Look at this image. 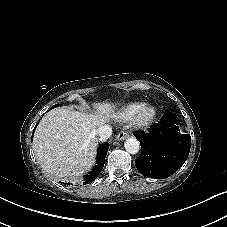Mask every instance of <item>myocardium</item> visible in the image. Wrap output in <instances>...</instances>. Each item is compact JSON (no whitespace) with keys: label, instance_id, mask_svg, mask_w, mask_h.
Segmentation results:
<instances>
[{"label":"myocardium","instance_id":"myocardium-1","mask_svg":"<svg viewBox=\"0 0 227 227\" xmlns=\"http://www.w3.org/2000/svg\"><path fill=\"white\" fill-rule=\"evenodd\" d=\"M157 110L152 104L141 105L130 117V125L136 129L148 128L156 118Z\"/></svg>","mask_w":227,"mask_h":227}]
</instances>
